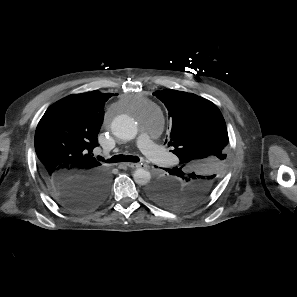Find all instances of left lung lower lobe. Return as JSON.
Segmentation results:
<instances>
[{
	"instance_id": "0a47b994",
	"label": "left lung lower lobe",
	"mask_w": 297,
	"mask_h": 297,
	"mask_svg": "<svg viewBox=\"0 0 297 297\" xmlns=\"http://www.w3.org/2000/svg\"><path fill=\"white\" fill-rule=\"evenodd\" d=\"M165 170L170 171V170H172V169H165Z\"/></svg>"
}]
</instances>
